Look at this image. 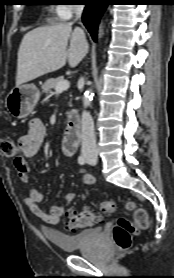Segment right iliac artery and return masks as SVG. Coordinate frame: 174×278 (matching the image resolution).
Wrapping results in <instances>:
<instances>
[{
	"label": "right iliac artery",
	"mask_w": 174,
	"mask_h": 278,
	"mask_svg": "<svg viewBox=\"0 0 174 278\" xmlns=\"http://www.w3.org/2000/svg\"><path fill=\"white\" fill-rule=\"evenodd\" d=\"M78 163H79L80 165H83V164L86 163V159H85V157H84L83 155H80V156L78 157Z\"/></svg>",
	"instance_id": "obj_1"
}]
</instances>
